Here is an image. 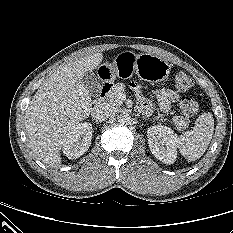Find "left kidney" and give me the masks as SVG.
Instances as JSON below:
<instances>
[{"instance_id":"obj_1","label":"left kidney","mask_w":233,"mask_h":233,"mask_svg":"<svg viewBox=\"0 0 233 233\" xmlns=\"http://www.w3.org/2000/svg\"><path fill=\"white\" fill-rule=\"evenodd\" d=\"M152 154L165 164H173L177 157L178 137L167 126L156 125L147 130Z\"/></svg>"}]
</instances>
